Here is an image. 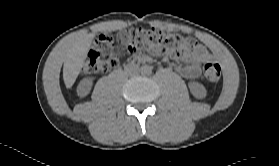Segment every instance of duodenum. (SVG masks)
Listing matches in <instances>:
<instances>
[{
  "instance_id": "obj_1",
  "label": "duodenum",
  "mask_w": 279,
  "mask_h": 166,
  "mask_svg": "<svg viewBox=\"0 0 279 166\" xmlns=\"http://www.w3.org/2000/svg\"><path fill=\"white\" fill-rule=\"evenodd\" d=\"M133 63H134V61H133V60H130L128 64H129V65H132Z\"/></svg>"
}]
</instances>
